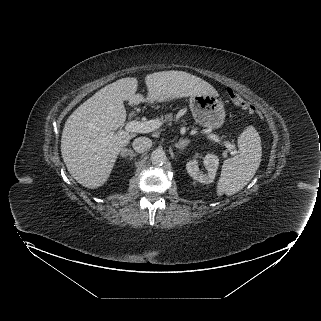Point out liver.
I'll return each instance as SVG.
<instances>
[{
  "instance_id": "obj_1",
  "label": "liver",
  "mask_w": 321,
  "mask_h": 321,
  "mask_svg": "<svg viewBox=\"0 0 321 321\" xmlns=\"http://www.w3.org/2000/svg\"><path fill=\"white\" fill-rule=\"evenodd\" d=\"M148 96L135 94L138 80L119 79L106 85L81 104L67 119L61 138V154L67 170L81 185L95 189L109 178L120 151L135 134L119 130L126 120L124 100L130 105L146 101L212 94L206 81L183 71H162L145 77Z\"/></svg>"
}]
</instances>
